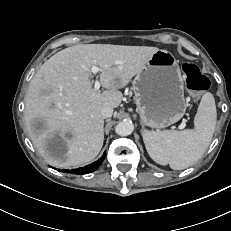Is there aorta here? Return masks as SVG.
<instances>
[{
  "mask_svg": "<svg viewBox=\"0 0 231 231\" xmlns=\"http://www.w3.org/2000/svg\"><path fill=\"white\" fill-rule=\"evenodd\" d=\"M134 130V125L131 121L124 120L119 122L115 127V132L120 136H128Z\"/></svg>",
  "mask_w": 231,
  "mask_h": 231,
  "instance_id": "1",
  "label": "aorta"
}]
</instances>
